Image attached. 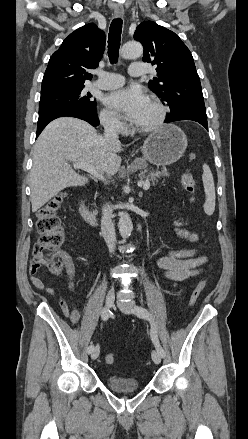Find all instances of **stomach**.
<instances>
[{
  "label": "stomach",
  "mask_w": 248,
  "mask_h": 439,
  "mask_svg": "<svg viewBox=\"0 0 248 439\" xmlns=\"http://www.w3.org/2000/svg\"><path fill=\"white\" fill-rule=\"evenodd\" d=\"M187 148V137L177 126L168 124L153 132L144 141L143 157L157 166L178 161Z\"/></svg>",
  "instance_id": "stomach-1"
}]
</instances>
